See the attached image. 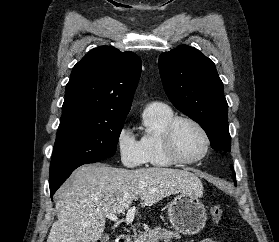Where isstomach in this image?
<instances>
[{"label":"stomach","mask_w":279,"mask_h":242,"mask_svg":"<svg viewBox=\"0 0 279 242\" xmlns=\"http://www.w3.org/2000/svg\"><path fill=\"white\" fill-rule=\"evenodd\" d=\"M172 227L184 235L199 233L206 224L207 213L199 197L192 193H180L168 207Z\"/></svg>","instance_id":"obj_1"}]
</instances>
